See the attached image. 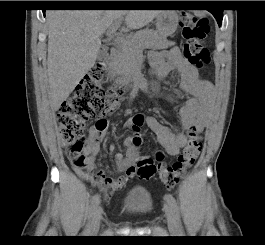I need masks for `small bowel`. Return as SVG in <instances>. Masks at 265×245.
<instances>
[{
	"label": "small bowel",
	"instance_id": "1",
	"mask_svg": "<svg viewBox=\"0 0 265 245\" xmlns=\"http://www.w3.org/2000/svg\"><path fill=\"white\" fill-rule=\"evenodd\" d=\"M148 59L151 72L158 82L166 83L169 74L175 71L180 76L181 90L189 95L178 111L182 126L181 132L174 133L154 116L146 118L148 126L156 133L166 152L176 156L186 145L193 130L202 131L204 129L206 122L199 119V114L208 105L214 88L208 81L200 78L197 68L182 57L178 47L161 52H150ZM151 94L159 95L157 84L151 87ZM130 105L131 100L126 106L125 112L130 111ZM124 125L128 128L131 127L132 119H128ZM105 131V125L90 129L84 149L85 164L82 167H76L75 171L81 178L103 189L107 196H111L133 179L135 173L132 170V165L138 158L139 150L134 146L132 137H127L123 141L124 155L120 152L114 153L115 148L111 146L110 152L114 153L117 169L124 174L116 178L108 177L95 165V157L99 152L100 142L105 136Z\"/></svg>",
	"mask_w": 265,
	"mask_h": 245
}]
</instances>
